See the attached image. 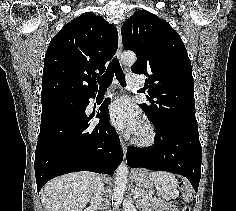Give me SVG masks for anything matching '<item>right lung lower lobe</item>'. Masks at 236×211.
Here are the masks:
<instances>
[{
    "instance_id": "obj_1",
    "label": "right lung lower lobe",
    "mask_w": 236,
    "mask_h": 211,
    "mask_svg": "<svg viewBox=\"0 0 236 211\" xmlns=\"http://www.w3.org/2000/svg\"><path fill=\"white\" fill-rule=\"evenodd\" d=\"M76 105L64 104L42 107L41 125L35 151L37 191L52 178L76 171L113 174L123 158L119 138L109 123L106 99L90 126L94 114L85 110L89 98Z\"/></svg>"
}]
</instances>
